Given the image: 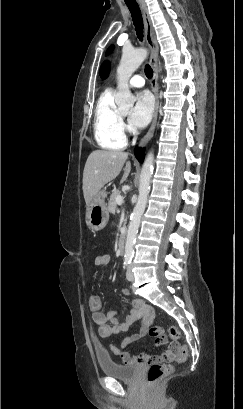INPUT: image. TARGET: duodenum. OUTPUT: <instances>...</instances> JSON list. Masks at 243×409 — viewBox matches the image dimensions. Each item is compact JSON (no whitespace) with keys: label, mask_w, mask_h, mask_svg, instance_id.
Here are the masks:
<instances>
[{"label":"duodenum","mask_w":243,"mask_h":409,"mask_svg":"<svg viewBox=\"0 0 243 409\" xmlns=\"http://www.w3.org/2000/svg\"><path fill=\"white\" fill-rule=\"evenodd\" d=\"M125 235L126 233L124 232L119 241L118 251L121 255L125 253Z\"/></svg>","instance_id":"410a0bca"}]
</instances>
